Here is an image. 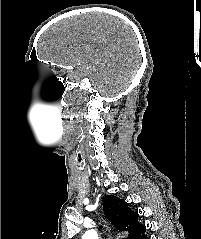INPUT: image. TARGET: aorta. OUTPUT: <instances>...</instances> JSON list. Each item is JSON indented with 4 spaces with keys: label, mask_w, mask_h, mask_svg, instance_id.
Returning <instances> with one entry per match:
<instances>
[{
    "label": "aorta",
    "mask_w": 201,
    "mask_h": 239,
    "mask_svg": "<svg viewBox=\"0 0 201 239\" xmlns=\"http://www.w3.org/2000/svg\"><path fill=\"white\" fill-rule=\"evenodd\" d=\"M82 239H98V234L95 230H88L83 235Z\"/></svg>",
    "instance_id": "obj_1"
}]
</instances>
